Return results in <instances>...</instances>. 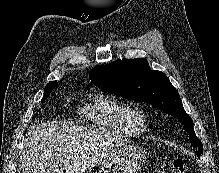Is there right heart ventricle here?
<instances>
[{"instance_id": "e07e8e85", "label": "right heart ventricle", "mask_w": 219, "mask_h": 173, "mask_svg": "<svg viewBox=\"0 0 219 173\" xmlns=\"http://www.w3.org/2000/svg\"><path fill=\"white\" fill-rule=\"evenodd\" d=\"M81 118L94 127L115 134L134 136L140 130L131 120L130 107L106 93L97 92L79 111Z\"/></svg>"}]
</instances>
